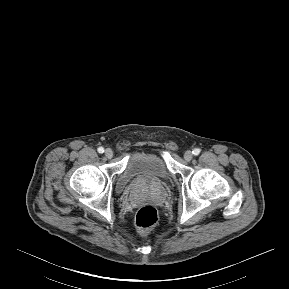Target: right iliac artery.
<instances>
[{
  "label": "right iliac artery",
  "mask_w": 289,
  "mask_h": 289,
  "mask_svg": "<svg viewBox=\"0 0 289 289\" xmlns=\"http://www.w3.org/2000/svg\"><path fill=\"white\" fill-rule=\"evenodd\" d=\"M98 152H99L100 154H102V153L104 152V148H103V147H99V148H98Z\"/></svg>",
  "instance_id": "right-iliac-artery-1"
}]
</instances>
